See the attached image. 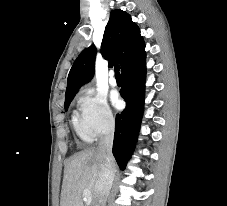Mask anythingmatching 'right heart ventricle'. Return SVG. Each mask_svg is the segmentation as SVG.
<instances>
[{
	"mask_svg": "<svg viewBox=\"0 0 227 206\" xmlns=\"http://www.w3.org/2000/svg\"><path fill=\"white\" fill-rule=\"evenodd\" d=\"M73 125H74V129L77 133V135L80 137V139H82L83 141H90L91 137L90 135L87 133V131L85 130L81 119H79L77 116H73Z\"/></svg>",
	"mask_w": 227,
	"mask_h": 206,
	"instance_id": "right-heart-ventricle-1",
	"label": "right heart ventricle"
}]
</instances>
